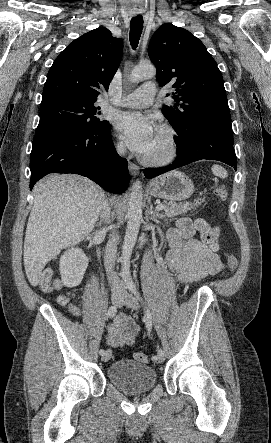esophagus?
Listing matches in <instances>:
<instances>
[{
	"mask_svg": "<svg viewBox=\"0 0 271 443\" xmlns=\"http://www.w3.org/2000/svg\"><path fill=\"white\" fill-rule=\"evenodd\" d=\"M128 168H129V172L131 173V175H132L133 177L139 175V170H140V169H139V166L136 165L135 163L129 161V163H128Z\"/></svg>",
	"mask_w": 271,
	"mask_h": 443,
	"instance_id": "obj_1",
	"label": "esophagus"
}]
</instances>
